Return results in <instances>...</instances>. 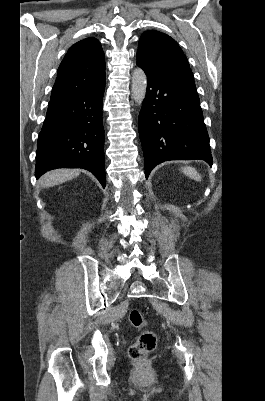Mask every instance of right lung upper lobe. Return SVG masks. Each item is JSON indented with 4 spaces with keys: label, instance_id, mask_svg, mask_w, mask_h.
I'll use <instances>...</instances> for the list:
<instances>
[{
    "label": "right lung upper lobe",
    "instance_id": "obj_1",
    "mask_svg": "<svg viewBox=\"0 0 265 401\" xmlns=\"http://www.w3.org/2000/svg\"><path fill=\"white\" fill-rule=\"evenodd\" d=\"M105 61L100 42L85 38L69 48L62 60L50 100L86 93L105 85Z\"/></svg>",
    "mask_w": 265,
    "mask_h": 401
}]
</instances>
